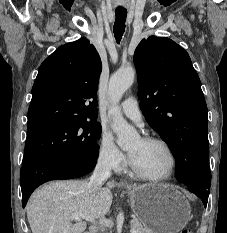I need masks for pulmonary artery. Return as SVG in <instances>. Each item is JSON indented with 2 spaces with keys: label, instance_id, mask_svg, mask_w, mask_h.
<instances>
[{
  "label": "pulmonary artery",
  "instance_id": "e3ab8cb5",
  "mask_svg": "<svg viewBox=\"0 0 227 233\" xmlns=\"http://www.w3.org/2000/svg\"><path fill=\"white\" fill-rule=\"evenodd\" d=\"M123 113L138 125H143L142 113L139 109L138 102L134 97H128L121 103Z\"/></svg>",
  "mask_w": 227,
  "mask_h": 233
}]
</instances>
